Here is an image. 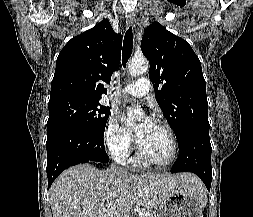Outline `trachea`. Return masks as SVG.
Listing matches in <instances>:
<instances>
[{"mask_svg": "<svg viewBox=\"0 0 253 217\" xmlns=\"http://www.w3.org/2000/svg\"><path fill=\"white\" fill-rule=\"evenodd\" d=\"M132 49H133V32L132 27H129V29L125 33L122 49V63L124 67L126 66V63L132 54Z\"/></svg>", "mask_w": 253, "mask_h": 217, "instance_id": "trachea-1", "label": "trachea"}]
</instances>
